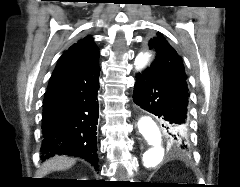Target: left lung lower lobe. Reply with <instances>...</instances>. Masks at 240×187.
Segmentation results:
<instances>
[{
  "mask_svg": "<svg viewBox=\"0 0 240 187\" xmlns=\"http://www.w3.org/2000/svg\"><path fill=\"white\" fill-rule=\"evenodd\" d=\"M188 98V90L164 81L150 68L136 75L133 101L164 122L171 146L175 149H189L190 142L175 130L176 126L187 127Z\"/></svg>",
  "mask_w": 240,
  "mask_h": 187,
  "instance_id": "1",
  "label": "left lung lower lobe"
}]
</instances>
